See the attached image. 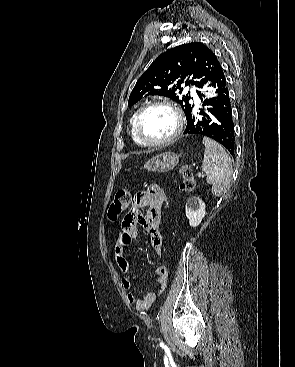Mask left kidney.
<instances>
[{
    "label": "left kidney",
    "mask_w": 295,
    "mask_h": 367,
    "mask_svg": "<svg viewBox=\"0 0 295 367\" xmlns=\"http://www.w3.org/2000/svg\"><path fill=\"white\" fill-rule=\"evenodd\" d=\"M185 213L190 226L196 227L206 214L205 203L198 197H190L185 206Z\"/></svg>",
    "instance_id": "1"
}]
</instances>
